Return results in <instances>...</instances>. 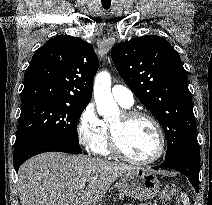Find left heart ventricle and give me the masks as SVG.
Here are the masks:
<instances>
[{
    "label": "left heart ventricle",
    "mask_w": 212,
    "mask_h": 205,
    "mask_svg": "<svg viewBox=\"0 0 212 205\" xmlns=\"http://www.w3.org/2000/svg\"><path fill=\"white\" fill-rule=\"evenodd\" d=\"M120 115L112 123H120ZM119 140L122 149L129 156L145 159L153 156L158 148V138L153 125L145 118H135L120 127Z\"/></svg>",
    "instance_id": "obj_1"
}]
</instances>
